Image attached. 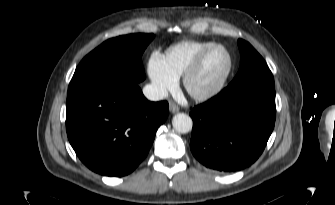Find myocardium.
Instances as JSON below:
<instances>
[{
  "instance_id": "obj_1",
  "label": "myocardium",
  "mask_w": 335,
  "mask_h": 205,
  "mask_svg": "<svg viewBox=\"0 0 335 205\" xmlns=\"http://www.w3.org/2000/svg\"><path fill=\"white\" fill-rule=\"evenodd\" d=\"M216 49H222L225 51L228 57V66L227 69L224 73V75L221 77V79L209 90L204 91V92H194L191 89V81L192 79L197 75V73L200 71L202 68L206 58L210 53H212ZM234 67V60L232 53L230 50L222 45L215 43L211 45L210 47L204 49L193 61V63L189 66V68L185 71L183 74V87L186 93L194 100L199 101V102H205L208 100L213 99L216 97L225 87L227 81L229 80L231 73L233 71Z\"/></svg>"
}]
</instances>
